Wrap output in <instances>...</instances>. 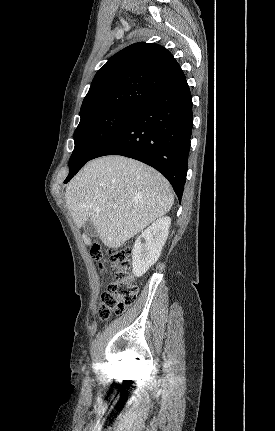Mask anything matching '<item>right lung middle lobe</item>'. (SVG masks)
<instances>
[{"instance_id": "1", "label": "right lung middle lobe", "mask_w": 275, "mask_h": 431, "mask_svg": "<svg viewBox=\"0 0 275 431\" xmlns=\"http://www.w3.org/2000/svg\"><path fill=\"white\" fill-rule=\"evenodd\" d=\"M138 108H111L81 118L74 132L75 147L68 177L77 173L136 113ZM67 177V178H68Z\"/></svg>"}]
</instances>
